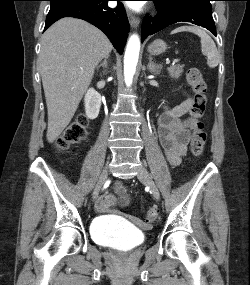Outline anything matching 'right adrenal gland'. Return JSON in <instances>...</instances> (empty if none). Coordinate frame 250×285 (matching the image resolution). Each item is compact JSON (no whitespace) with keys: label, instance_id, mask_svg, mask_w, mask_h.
<instances>
[{"label":"right adrenal gland","instance_id":"1","mask_svg":"<svg viewBox=\"0 0 250 285\" xmlns=\"http://www.w3.org/2000/svg\"><path fill=\"white\" fill-rule=\"evenodd\" d=\"M109 59V55L107 57H105L104 61L102 63H100V65L97 66V69H99L100 67H102L103 69L108 67V63L107 60Z\"/></svg>","mask_w":250,"mask_h":285}]
</instances>
